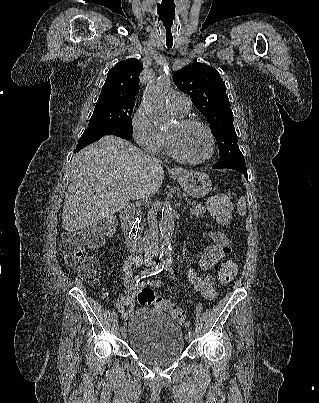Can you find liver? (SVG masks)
<instances>
[{
  "mask_svg": "<svg viewBox=\"0 0 319 403\" xmlns=\"http://www.w3.org/2000/svg\"><path fill=\"white\" fill-rule=\"evenodd\" d=\"M159 162L130 142L104 136L77 153L71 165L63 214V229L77 231L122 211L131 196L161 187Z\"/></svg>",
  "mask_w": 319,
  "mask_h": 403,
  "instance_id": "6515ba94",
  "label": "liver"
}]
</instances>
